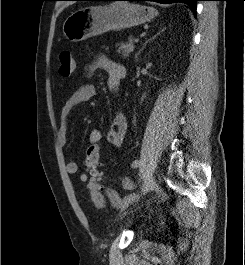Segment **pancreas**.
Returning a JSON list of instances; mask_svg holds the SVG:
<instances>
[{"label":"pancreas","mask_w":245,"mask_h":265,"mask_svg":"<svg viewBox=\"0 0 245 265\" xmlns=\"http://www.w3.org/2000/svg\"><path fill=\"white\" fill-rule=\"evenodd\" d=\"M134 51V44L132 39L127 43H122L118 48V53L122 54V57L127 58Z\"/></svg>","instance_id":"obj_1"}]
</instances>
